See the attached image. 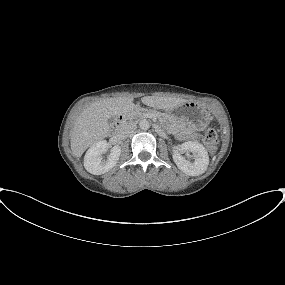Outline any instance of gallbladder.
I'll return each mask as SVG.
<instances>
[{"label":"gallbladder","mask_w":285,"mask_h":285,"mask_svg":"<svg viewBox=\"0 0 285 285\" xmlns=\"http://www.w3.org/2000/svg\"><path fill=\"white\" fill-rule=\"evenodd\" d=\"M113 122H114V118L111 117V118L108 119V123L109 124H112Z\"/></svg>","instance_id":"1"}]
</instances>
